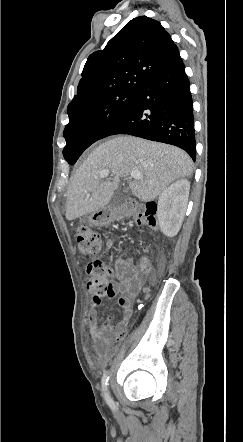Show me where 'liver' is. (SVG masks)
<instances>
[{
    "label": "liver",
    "instance_id": "liver-1",
    "mask_svg": "<svg viewBox=\"0 0 243 442\" xmlns=\"http://www.w3.org/2000/svg\"><path fill=\"white\" fill-rule=\"evenodd\" d=\"M111 172L112 181L100 173ZM139 171L141 179L129 183L132 194L143 202L154 200L175 180L193 172L189 155L174 146L132 136H118L95 148L79 166L67 190L66 218L71 221L104 208L119 178Z\"/></svg>",
    "mask_w": 243,
    "mask_h": 442
}]
</instances>
